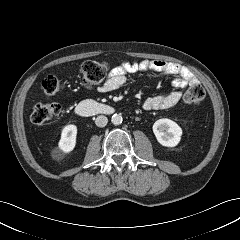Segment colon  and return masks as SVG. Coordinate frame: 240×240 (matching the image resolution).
Masks as SVG:
<instances>
[{"label": "colon", "instance_id": "colon-1", "mask_svg": "<svg viewBox=\"0 0 240 240\" xmlns=\"http://www.w3.org/2000/svg\"><path fill=\"white\" fill-rule=\"evenodd\" d=\"M108 73V66L105 63L87 61L80 69V77L86 88H93L99 85ZM43 89L47 96L58 93L63 85L55 75H48L43 80ZM205 97V90L200 84H193L184 94L185 103L191 106H199ZM60 113V106L56 103H37L31 113V121L40 125L52 120Z\"/></svg>", "mask_w": 240, "mask_h": 240}]
</instances>
